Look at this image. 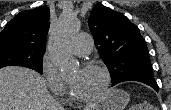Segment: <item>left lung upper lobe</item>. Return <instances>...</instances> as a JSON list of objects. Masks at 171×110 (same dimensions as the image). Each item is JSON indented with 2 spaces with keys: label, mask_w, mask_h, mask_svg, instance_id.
Masks as SVG:
<instances>
[{
  "label": "left lung upper lobe",
  "mask_w": 171,
  "mask_h": 110,
  "mask_svg": "<svg viewBox=\"0 0 171 110\" xmlns=\"http://www.w3.org/2000/svg\"><path fill=\"white\" fill-rule=\"evenodd\" d=\"M88 23L113 86L129 80H155L146 42L135 24L101 3L93 8Z\"/></svg>",
  "instance_id": "obj_1"
}]
</instances>
